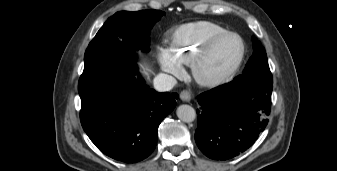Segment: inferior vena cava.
<instances>
[{"label": "inferior vena cava", "mask_w": 337, "mask_h": 171, "mask_svg": "<svg viewBox=\"0 0 337 171\" xmlns=\"http://www.w3.org/2000/svg\"><path fill=\"white\" fill-rule=\"evenodd\" d=\"M176 83L173 76L164 73L158 74L153 80L154 88L158 92L170 91Z\"/></svg>", "instance_id": "1"}]
</instances>
